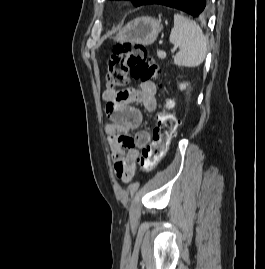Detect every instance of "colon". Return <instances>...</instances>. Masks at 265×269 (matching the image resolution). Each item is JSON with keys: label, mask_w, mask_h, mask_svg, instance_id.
<instances>
[{"label": "colon", "mask_w": 265, "mask_h": 269, "mask_svg": "<svg viewBox=\"0 0 265 269\" xmlns=\"http://www.w3.org/2000/svg\"><path fill=\"white\" fill-rule=\"evenodd\" d=\"M129 74L141 80H151L160 74L159 65L141 44L125 42L113 48L107 64V88H122L127 84ZM174 105L173 99L166 98L156 113L151 142L143 149L137 162L144 171L154 168L168 151L177 127L172 114Z\"/></svg>", "instance_id": "5ec220e1"}]
</instances>
